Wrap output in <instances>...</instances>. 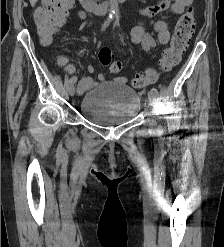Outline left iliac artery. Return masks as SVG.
I'll return each instance as SVG.
<instances>
[{
    "label": "left iliac artery",
    "instance_id": "44dca946",
    "mask_svg": "<svg viewBox=\"0 0 224 247\" xmlns=\"http://www.w3.org/2000/svg\"><path fill=\"white\" fill-rule=\"evenodd\" d=\"M151 92L155 95V96H158L159 93H158V90L156 88H152L151 89Z\"/></svg>",
    "mask_w": 224,
    "mask_h": 247
}]
</instances>
